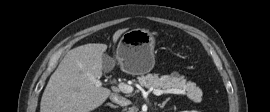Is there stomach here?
I'll return each mask as SVG.
<instances>
[{"label":"stomach","instance_id":"stomach-1","mask_svg":"<svg viewBox=\"0 0 270 112\" xmlns=\"http://www.w3.org/2000/svg\"><path fill=\"white\" fill-rule=\"evenodd\" d=\"M153 35L145 29H133L123 34L116 50L121 69L132 75H142L154 66Z\"/></svg>","mask_w":270,"mask_h":112}]
</instances>
